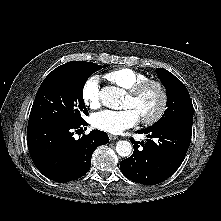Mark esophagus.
<instances>
[{
	"instance_id": "obj_1",
	"label": "esophagus",
	"mask_w": 221,
	"mask_h": 221,
	"mask_svg": "<svg viewBox=\"0 0 221 221\" xmlns=\"http://www.w3.org/2000/svg\"><path fill=\"white\" fill-rule=\"evenodd\" d=\"M109 139H110L111 141L117 140V139H118V136H117V135L109 134Z\"/></svg>"
}]
</instances>
